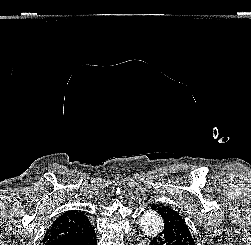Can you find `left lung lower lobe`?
Returning <instances> with one entry per match:
<instances>
[{
    "instance_id": "obj_1",
    "label": "left lung lower lobe",
    "mask_w": 251,
    "mask_h": 245,
    "mask_svg": "<svg viewBox=\"0 0 251 245\" xmlns=\"http://www.w3.org/2000/svg\"><path fill=\"white\" fill-rule=\"evenodd\" d=\"M151 244L154 245H185L182 241L177 239L176 236L173 235V233L169 231H165L160 233L157 237H155Z\"/></svg>"
}]
</instances>
